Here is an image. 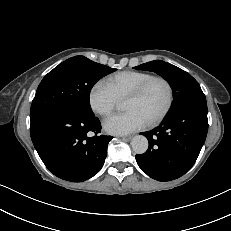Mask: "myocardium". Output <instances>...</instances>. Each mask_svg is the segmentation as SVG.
<instances>
[{
  "mask_svg": "<svg viewBox=\"0 0 231 231\" xmlns=\"http://www.w3.org/2000/svg\"><path fill=\"white\" fill-rule=\"evenodd\" d=\"M154 82H162L166 86L168 97L163 110L157 116L148 121V124L152 126L161 123L168 116L173 107L174 88L170 80L161 75H153L126 97V99H139L143 97Z\"/></svg>",
  "mask_w": 231,
  "mask_h": 231,
  "instance_id": "obj_1",
  "label": "myocardium"
}]
</instances>
